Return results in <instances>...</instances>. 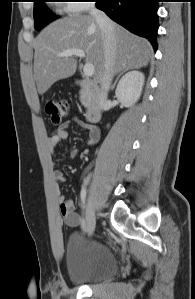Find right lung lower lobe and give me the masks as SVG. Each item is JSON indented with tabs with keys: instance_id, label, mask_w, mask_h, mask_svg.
<instances>
[{
	"instance_id": "right-lung-lower-lobe-1",
	"label": "right lung lower lobe",
	"mask_w": 195,
	"mask_h": 299,
	"mask_svg": "<svg viewBox=\"0 0 195 299\" xmlns=\"http://www.w3.org/2000/svg\"><path fill=\"white\" fill-rule=\"evenodd\" d=\"M159 0H96L98 9L132 33L147 38L157 49Z\"/></svg>"
}]
</instances>
